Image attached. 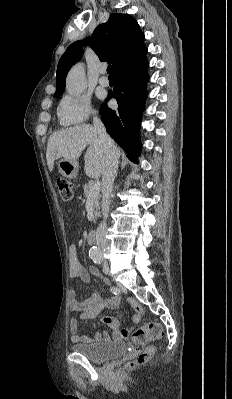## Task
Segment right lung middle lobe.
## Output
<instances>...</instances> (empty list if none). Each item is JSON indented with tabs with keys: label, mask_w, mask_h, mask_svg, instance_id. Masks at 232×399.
I'll return each mask as SVG.
<instances>
[{
	"label": "right lung middle lobe",
	"mask_w": 232,
	"mask_h": 399,
	"mask_svg": "<svg viewBox=\"0 0 232 399\" xmlns=\"http://www.w3.org/2000/svg\"><path fill=\"white\" fill-rule=\"evenodd\" d=\"M62 94H57V95H55L54 97H59V96H61Z\"/></svg>",
	"instance_id": "dd1d6c3e"
}]
</instances>
